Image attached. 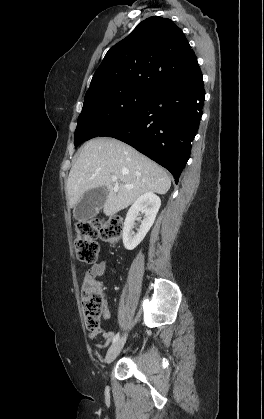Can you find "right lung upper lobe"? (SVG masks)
<instances>
[{"label":"right lung upper lobe","instance_id":"right-lung-upper-lobe-1","mask_svg":"<svg viewBox=\"0 0 264 419\" xmlns=\"http://www.w3.org/2000/svg\"><path fill=\"white\" fill-rule=\"evenodd\" d=\"M201 77L195 53L182 30L170 19L154 16L107 52L86 95L128 87L154 92L194 84Z\"/></svg>","mask_w":264,"mask_h":419}]
</instances>
